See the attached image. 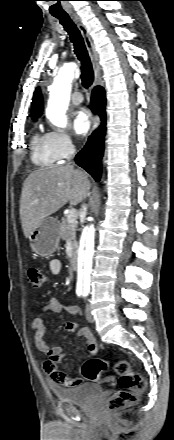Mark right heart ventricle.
I'll use <instances>...</instances> for the list:
<instances>
[{"mask_svg":"<svg viewBox=\"0 0 174 440\" xmlns=\"http://www.w3.org/2000/svg\"><path fill=\"white\" fill-rule=\"evenodd\" d=\"M31 150L32 162L37 166L48 167L59 162L53 153L49 134L36 133L31 141Z\"/></svg>","mask_w":174,"mask_h":440,"instance_id":"right-heart-ventricle-1","label":"right heart ventricle"}]
</instances>
